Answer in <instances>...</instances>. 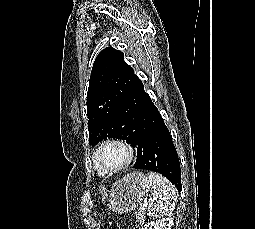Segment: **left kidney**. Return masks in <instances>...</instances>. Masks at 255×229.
Segmentation results:
<instances>
[{"mask_svg":"<svg viewBox=\"0 0 255 229\" xmlns=\"http://www.w3.org/2000/svg\"><path fill=\"white\" fill-rule=\"evenodd\" d=\"M172 225V218H163L145 224L143 229H171Z\"/></svg>","mask_w":255,"mask_h":229,"instance_id":"obj_1","label":"left kidney"}]
</instances>
